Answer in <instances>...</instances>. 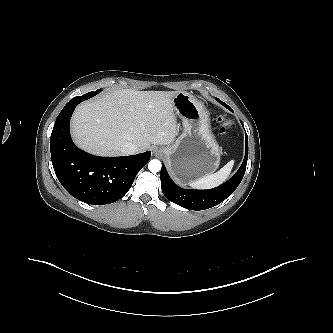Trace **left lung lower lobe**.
Instances as JSON below:
<instances>
[{"label": "left lung lower lobe", "instance_id": "0a47b994", "mask_svg": "<svg viewBox=\"0 0 333 333\" xmlns=\"http://www.w3.org/2000/svg\"><path fill=\"white\" fill-rule=\"evenodd\" d=\"M216 100L228 110H233L224 102ZM245 157L237 173L222 185L208 190H189L177 186L167 173L165 166L161 168V188L163 194L171 202L190 210H204L218 205L228 198L240 184L248 159V136L246 134Z\"/></svg>", "mask_w": 333, "mask_h": 333}]
</instances>
